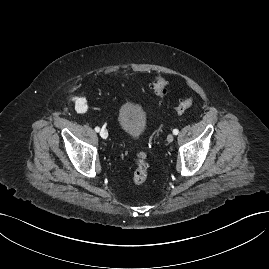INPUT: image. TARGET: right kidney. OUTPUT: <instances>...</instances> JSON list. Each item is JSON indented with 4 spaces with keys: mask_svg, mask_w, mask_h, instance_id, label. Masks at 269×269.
Segmentation results:
<instances>
[{
    "mask_svg": "<svg viewBox=\"0 0 269 269\" xmlns=\"http://www.w3.org/2000/svg\"><path fill=\"white\" fill-rule=\"evenodd\" d=\"M86 99L84 97L75 98V108L80 112H85L87 109Z\"/></svg>",
    "mask_w": 269,
    "mask_h": 269,
    "instance_id": "right-kidney-1",
    "label": "right kidney"
}]
</instances>
